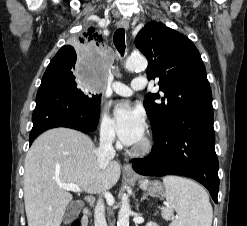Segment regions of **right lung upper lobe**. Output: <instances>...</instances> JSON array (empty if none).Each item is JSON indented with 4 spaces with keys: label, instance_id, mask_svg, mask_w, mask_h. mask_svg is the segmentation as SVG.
<instances>
[{
    "label": "right lung upper lobe",
    "instance_id": "right-lung-upper-lobe-1",
    "mask_svg": "<svg viewBox=\"0 0 247 226\" xmlns=\"http://www.w3.org/2000/svg\"><path fill=\"white\" fill-rule=\"evenodd\" d=\"M81 42L88 43L91 46L99 45V43L102 42V35H99L96 32V29L94 27H90L87 32L83 34L81 38H79ZM75 53V50L72 46L65 45L63 46L57 54L54 56V58L51 60L49 67H52L56 61L61 57V56H69L73 55Z\"/></svg>",
    "mask_w": 247,
    "mask_h": 226
}]
</instances>
